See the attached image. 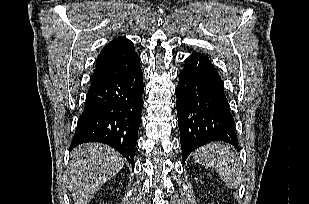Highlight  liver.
<instances>
[{
  "label": "liver",
  "instance_id": "liver-1",
  "mask_svg": "<svg viewBox=\"0 0 309 204\" xmlns=\"http://www.w3.org/2000/svg\"><path fill=\"white\" fill-rule=\"evenodd\" d=\"M124 165V158L100 143L76 147L70 155L67 186L75 204H88L109 179Z\"/></svg>",
  "mask_w": 309,
  "mask_h": 204
}]
</instances>
